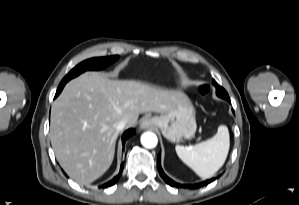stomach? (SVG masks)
I'll return each instance as SVG.
<instances>
[{"mask_svg":"<svg viewBox=\"0 0 299 205\" xmlns=\"http://www.w3.org/2000/svg\"><path fill=\"white\" fill-rule=\"evenodd\" d=\"M151 121L171 142L193 136L197 127L195 109L185 95L172 110L162 113L160 116L152 117Z\"/></svg>","mask_w":299,"mask_h":205,"instance_id":"stomach-1","label":"stomach"}]
</instances>
